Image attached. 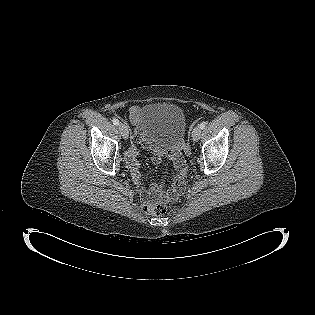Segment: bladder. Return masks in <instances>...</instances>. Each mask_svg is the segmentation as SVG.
Wrapping results in <instances>:
<instances>
[{
  "instance_id": "31cf9c89",
  "label": "bladder",
  "mask_w": 315,
  "mask_h": 315,
  "mask_svg": "<svg viewBox=\"0 0 315 315\" xmlns=\"http://www.w3.org/2000/svg\"><path fill=\"white\" fill-rule=\"evenodd\" d=\"M183 110L172 104H148L139 112L138 132L145 143L159 147L179 145L186 134Z\"/></svg>"
}]
</instances>
